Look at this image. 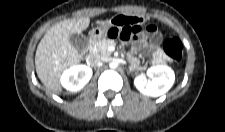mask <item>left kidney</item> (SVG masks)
<instances>
[{"mask_svg":"<svg viewBox=\"0 0 225 132\" xmlns=\"http://www.w3.org/2000/svg\"><path fill=\"white\" fill-rule=\"evenodd\" d=\"M146 76H137L134 80L135 87L144 95L158 97L166 93L174 84V71L165 65H157L147 70Z\"/></svg>","mask_w":225,"mask_h":132,"instance_id":"5707ae66","label":"left kidney"}]
</instances>
